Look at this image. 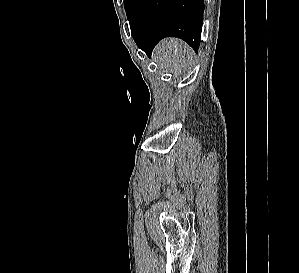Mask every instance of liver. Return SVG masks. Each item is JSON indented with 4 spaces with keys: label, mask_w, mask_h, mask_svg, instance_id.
Here are the masks:
<instances>
[{
    "label": "liver",
    "mask_w": 299,
    "mask_h": 273,
    "mask_svg": "<svg viewBox=\"0 0 299 273\" xmlns=\"http://www.w3.org/2000/svg\"><path fill=\"white\" fill-rule=\"evenodd\" d=\"M154 56L160 67L168 68L177 75L192 66L195 54L183 41L169 38L157 45L154 49Z\"/></svg>",
    "instance_id": "obj_1"
}]
</instances>
